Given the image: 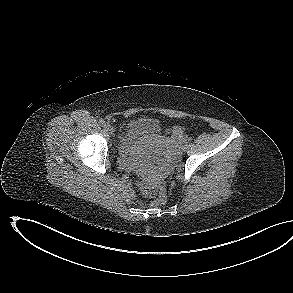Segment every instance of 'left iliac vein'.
Masks as SVG:
<instances>
[{"label": "left iliac vein", "instance_id": "1", "mask_svg": "<svg viewBox=\"0 0 293 293\" xmlns=\"http://www.w3.org/2000/svg\"><path fill=\"white\" fill-rule=\"evenodd\" d=\"M181 149H182L183 152L186 151V149H187V144H186L185 141H183V144H182V146H181Z\"/></svg>", "mask_w": 293, "mask_h": 293}]
</instances>
